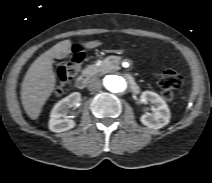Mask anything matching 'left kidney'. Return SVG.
<instances>
[{
    "label": "left kidney",
    "instance_id": "1",
    "mask_svg": "<svg viewBox=\"0 0 212 183\" xmlns=\"http://www.w3.org/2000/svg\"><path fill=\"white\" fill-rule=\"evenodd\" d=\"M141 102H151L154 107V113L143 114L140 121L145 126L152 129H160L170 121V110L164 99L152 91H144L141 94Z\"/></svg>",
    "mask_w": 212,
    "mask_h": 183
}]
</instances>
